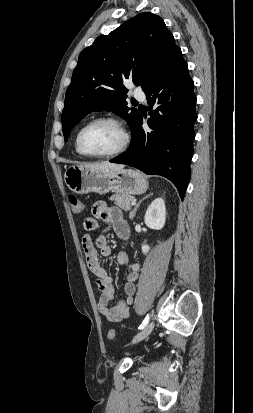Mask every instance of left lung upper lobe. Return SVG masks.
I'll return each mask as SVG.
<instances>
[{"mask_svg": "<svg viewBox=\"0 0 253 413\" xmlns=\"http://www.w3.org/2000/svg\"><path fill=\"white\" fill-rule=\"evenodd\" d=\"M178 48L164 21L150 12L140 13L109 35L98 37L80 53L65 94L62 111L65 141L76 123L92 111L101 110L126 118L133 139L140 113L127 107L123 82L132 80L145 92Z\"/></svg>", "mask_w": 253, "mask_h": 413, "instance_id": "obj_1", "label": "left lung upper lobe"}]
</instances>
